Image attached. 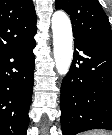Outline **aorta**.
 <instances>
[{
	"instance_id": "obj_1",
	"label": "aorta",
	"mask_w": 112,
	"mask_h": 135,
	"mask_svg": "<svg viewBox=\"0 0 112 135\" xmlns=\"http://www.w3.org/2000/svg\"><path fill=\"white\" fill-rule=\"evenodd\" d=\"M53 53L57 72L65 76L73 57V35L69 17L63 11L52 16Z\"/></svg>"
}]
</instances>
